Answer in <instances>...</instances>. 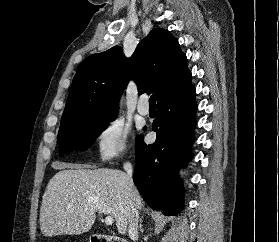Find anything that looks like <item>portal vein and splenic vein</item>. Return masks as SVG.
Returning a JSON list of instances; mask_svg holds the SVG:
<instances>
[{
	"instance_id": "portal-vein-and-splenic-vein-1",
	"label": "portal vein and splenic vein",
	"mask_w": 279,
	"mask_h": 242,
	"mask_svg": "<svg viewBox=\"0 0 279 242\" xmlns=\"http://www.w3.org/2000/svg\"><path fill=\"white\" fill-rule=\"evenodd\" d=\"M104 222H105L106 225H112L113 222H114L113 217L110 216V215L106 216L105 219H104Z\"/></svg>"
}]
</instances>
